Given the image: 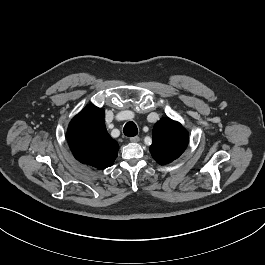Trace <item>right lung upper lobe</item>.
Masks as SVG:
<instances>
[{
	"instance_id": "right-lung-upper-lobe-1",
	"label": "right lung upper lobe",
	"mask_w": 265,
	"mask_h": 265,
	"mask_svg": "<svg viewBox=\"0 0 265 265\" xmlns=\"http://www.w3.org/2000/svg\"><path fill=\"white\" fill-rule=\"evenodd\" d=\"M105 112L87 105L70 122L67 140L74 157L99 170L113 165L119 146L106 131Z\"/></svg>"
}]
</instances>
